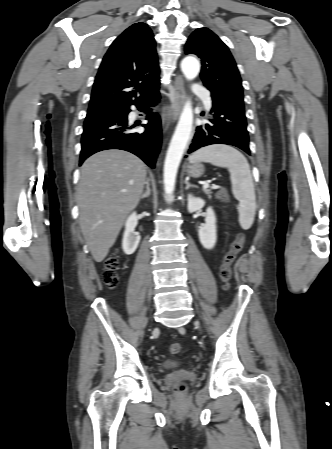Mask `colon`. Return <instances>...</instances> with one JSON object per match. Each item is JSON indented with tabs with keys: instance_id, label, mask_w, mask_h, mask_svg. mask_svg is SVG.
<instances>
[{
	"instance_id": "colon-1",
	"label": "colon",
	"mask_w": 332,
	"mask_h": 449,
	"mask_svg": "<svg viewBox=\"0 0 332 449\" xmlns=\"http://www.w3.org/2000/svg\"><path fill=\"white\" fill-rule=\"evenodd\" d=\"M217 198L222 202H227L228 193L225 188H221L216 193ZM245 242V237L243 234H238L236 239L230 246L229 251L224 256L221 267H220V277L224 282L225 288L230 287V279L232 275L231 266L237 256L241 251ZM119 269V259L117 256H110L105 262V269L103 272V281L107 288L114 289L118 284L117 270ZM169 352L171 355H178L181 352V345L179 343H173L169 347ZM185 388L184 384H177L175 386V391L181 392Z\"/></svg>"
}]
</instances>
